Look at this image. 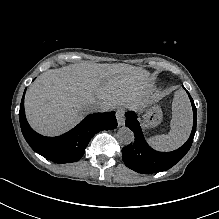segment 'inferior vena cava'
<instances>
[{"label":"inferior vena cava","instance_id":"1","mask_svg":"<svg viewBox=\"0 0 219 219\" xmlns=\"http://www.w3.org/2000/svg\"><path fill=\"white\" fill-rule=\"evenodd\" d=\"M91 112H107L110 106L106 103L94 102L89 106Z\"/></svg>","mask_w":219,"mask_h":219}]
</instances>
